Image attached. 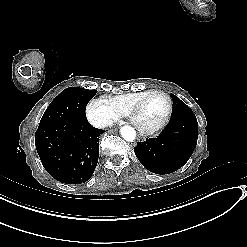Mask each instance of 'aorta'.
<instances>
[{
    "instance_id": "1",
    "label": "aorta",
    "mask_w": 247,
    "mask_h": 247,
    "mask_svg": "<svg viewBox=\"0 0 247 247\" xmlns=\"http://www.w3.org/2000/svg\"><path fill=\"white\" fill-rule=\"evenodd\" d=\"M121 136L123 137L124 140L128 142H133L136 137V132L133 127L131 126H123L120 129Z\"/></svg>"
}]
</instances>
